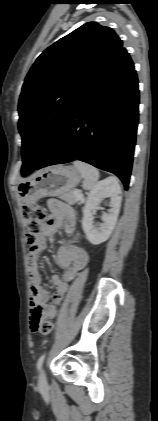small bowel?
<instances>
[{
	"label": "small bowel",
	"instance_id": "1",
	"mask_svg": "<svg viewBox=\"0 0 158 421\" xmlns=\"http://www.w3.org/2000/svg\"><path fill=\"white\" fill-rule=\"evenodd\" d=\"M50 209L51 214L44 223L40 243L37 249L31 250L28 260L31 279L30 324L34 331L43 319L55 317L57 307L62 302L68 289V281L88 263L87 252L78 244V222L75 211L58 201L51 202ZM61 227L68 235L69 242L58 248L56 259L58 265L65 269V272L53 276L52 284L55 291L52 295V301L49 302V294L42 283L43 277L39 260L47 246V238L52 237Z\"/></svg>",
	"mask_w": 158,
	"mask_h": 421
}]
</instances>
